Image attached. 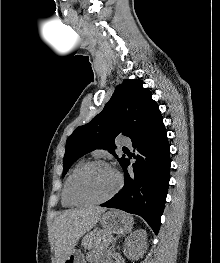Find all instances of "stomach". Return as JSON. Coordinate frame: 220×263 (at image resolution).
<instances>
[{
    "mask_svg": "<svg viewBox=\"0 0 220 263\" xmlns=\"http://www.w3.org/2000/svg\"><path fill=\"white\" fill-rule=\"evenodd\" d=\"M100 224L105 232L111 234H125L132 229L133 217L119 210H110L100 216ZM107 247V246H106ZM64 263H86L80 250L73 249Z\"/></svg>",
    "mask_w": 220,
    "mask_h": 263,
    "instance_id": "obj_1",
    "label": "stomach"
}]
</instances>
